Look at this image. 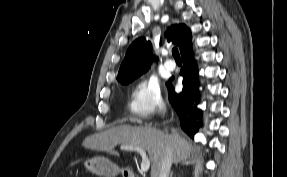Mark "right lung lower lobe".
<instances>
[{"mask_svg":"<svg viewBox=\"0 0 287 177\" xmlns=\"http://www.w3.org/2000/svg\"><path fill=\"white\" fill-rule=\"evenodd\" d=\"M183 58V67L180 75L183 77V90L176 93L173 86L167 83L169 92V101L179 116L182 129L193 136L201 127V121L196 119L202 116V112L197 108L200 103V91L198 82L197 64L193 57L191 41L181 54ZM174 78H170L173 80Z\"/></svg>","mask_w":287,"mask_h":177,"instance_id":"1","label":"right lung lower lobe"}]
</instances>
